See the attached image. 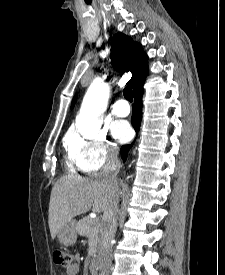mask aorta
I'll use <instances>...</instances> for the list:
<instances>
[{"label":"aorta","instance_id":"1","mask_svg":"<svg viewBox=\"0 0 225 275\" xmlns=\"http://www.w3.org/2000/svg\"><path fill=\"white\" fill-rule=\"evenodd\" d=\"M109 94L110 88L102 80L96 79L89 86L75 122L77 131L84 138L91 139L99 132Z\"/></svg>","mask_w":225,"mask_h":275}]
</instances>
